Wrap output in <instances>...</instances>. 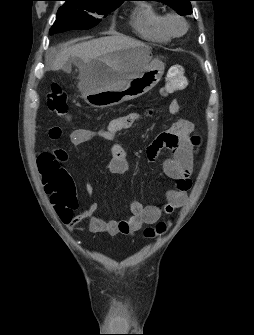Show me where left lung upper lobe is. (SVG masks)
<instances>
[{
    "instance_id": "5c2ea615",
    "label": "left lung upper lobe",
    "mask_w": 254,
    "mask_h": 335,
    "mask_svg": "<svg viewBox=\"0 0 254 335\" xmlns=\"http://www.w3.org/2000/svg\"><path fill=\"white\" fill-rule=\"evenodd\" d=\"M148 1H159L167 4L177 11L180 15H189L192 13L190 1L192 0H148Z\"/></svg>"
}]
</instances>
